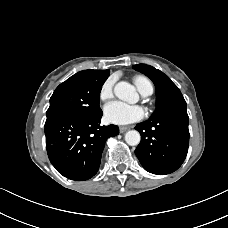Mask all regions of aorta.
<instances>
[{
  "mask_svg": "<svg viewBox=\"0 0 228 228\" xmlns=\"http://www.w3.org/2000/svg\"><path fill=\"white\" fill-rule=\"evenodd\" d=\"M114 94L123 101L135 103L138 100V94L134 86L130 83L121 81L114 87ZM141 136L138 131L130 130L125 134V141L130 146H137L140 143Z\"/></svg>",
  "mask_w": 228,
  "mask_h": 228,
  "instance_id": "762f6f07",
  "label": "aorta"
}]
</instances>
